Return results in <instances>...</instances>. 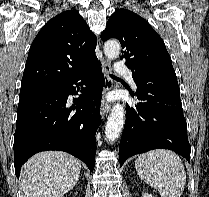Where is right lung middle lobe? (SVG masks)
<instances>
[{"mask_svg": "<svg viewBox=\"0 0 209 197\" xmlns=\"http://www.w3.org/2000/svg\"><path fill=\"white\" fill-rule=\"evenodd\" d=\"M48 89H51V88H40V89H33V90H21L20 91V98L28 96V95H31V94H34V93H37V92L48 90Z\"/></svg>", "mask_w": 209, "mask_h": 197, "instance_id": "1", "label": "right lung middle lobe"}]
</instances>
